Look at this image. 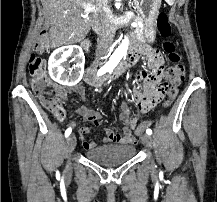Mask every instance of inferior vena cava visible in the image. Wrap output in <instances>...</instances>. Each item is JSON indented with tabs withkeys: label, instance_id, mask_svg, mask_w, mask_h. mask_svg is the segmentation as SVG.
<instances>
[{
	"label": "inferior vena cava",
	"instance_id": "inferior-vena-cava-1",
	"mask_svg": "<svg viewBox=\"0 0 217 202\" xmlns=\"http://www.w3.org/2000/svg\"><path fill=\"white\" fill-rule=\"evenodd\" d=\"M97 14L94 16V24L97 28H100L102 18L101 12H104V8H107L108 0H95ZM112 40L111 32L108 30H100L98 34V42L96 46V56H104L106 54Z\"/></svg>",
	"mask_w": 217,
	"mask_h": 202
}]
</instances>
